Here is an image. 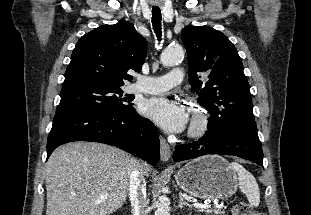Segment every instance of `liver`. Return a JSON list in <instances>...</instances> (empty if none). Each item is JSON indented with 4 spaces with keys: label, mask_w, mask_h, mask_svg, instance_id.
<instances>
[{
    "label": "liver",
    "mask_w": 311,
    "mask_h": 215,
    "mask_svg": "<svg viewBox=\"0 0 311 215\" xmlns=\"http://www.w3.org/2000/svg\"><path fill=\"white\" fill-rule=\"evenodd\" d=\"M136 167L148 176V166L105 144L72 142L57 148L46 164V215L111 214L125 203Z\"/></svg>",
    "instance_id": "liver-1"
}]
</instances>
